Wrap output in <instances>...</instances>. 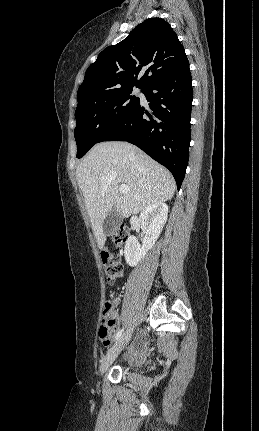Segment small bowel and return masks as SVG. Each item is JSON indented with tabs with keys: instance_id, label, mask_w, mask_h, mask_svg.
<instances>
[{
	"instance_id": "c3829d8e",
	"label": "small bowel",
	"mask_w": 259,
	"mask_h": 431,
	"mask_svg": "<svg viewBox=\"0 0 259 431\" xmlns=\"http://www.w3.org/2000/svg\"><path fill=\"white\" fill-rule=\"evenodd\" d=\"M119 302H120V300L118 299V298H116V299H114L113 301H112V303H113V305H114V307H116L118 304H119ZM118 324H119V320H117V325L116 326H118ZM143 342H144V337L143 336H141L137 341H136V347H141L142 346V344H143ZM110 344V343H109ZM109 345H107L106 347H108Z\"/></svg>"
}]
</instances>
